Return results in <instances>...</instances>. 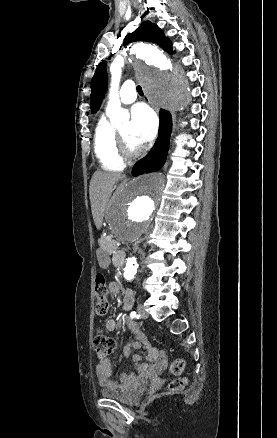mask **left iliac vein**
I'll return each instance as SVG.
<instances>
[{
	"label": "left iliac vein",
	"mask_w": 277,
	"mask_h": 438,
	"mask_svg": "<svg viewBox=\"0 0 277 438\" xmlns=\"http://www.w3.org/2000/svg\"><path fill=\"white\" fill-rule=\"evenodd\" d=\"M138 312L141 318L146 319L148 317V313L146 312L144 306L142 304L138 305Z\"/></svg>",
	"instance_id": "left-iliac-vein-1"
}]
</instances>
